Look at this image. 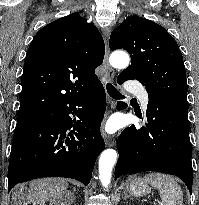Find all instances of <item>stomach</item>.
<instances>
[{"label": "stomach", "mask_w": 199, "mask_h": 205, "mask_svg": "<svg viewBox=\"0 0 199 205\" xmlns=\"http://www.w3.org/2000/svg\"><path fill=\"white\" fill-rule=\"evenodd\" d=\"M127 189L135 197L144 196L150 191L148 183L140 177L133 178L129 182Z\"/></svg>", "instance_id": "1"}]
</instances>
